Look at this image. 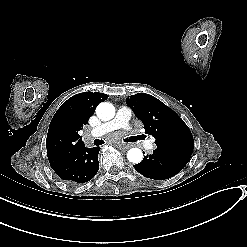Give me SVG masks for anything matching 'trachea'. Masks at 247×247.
Listing matches in <instances>:
<instances>
[{
	"label": "trachea",
	"instance_id": "trachea-1",
	"mask_svg": "<svg viewBox=\"0 0 247 247\" xmlns=\"http://www.w3.org/2000/svg\"><path fill=\"white\" fill-rule=\"evenodd\" d=\"M123 141H124V142H129V139L126 138V139H124ZM104 143H105L104 140H99V139L94 140V145H96V146L102 145V144H104Z\"/></svg>",
	"mask_w": 247,
	"mask_h": 247
}]
</instances>
